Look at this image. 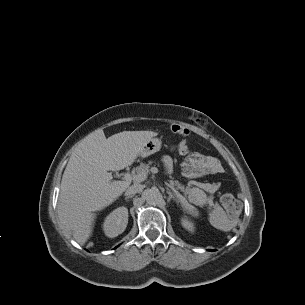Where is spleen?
Here are the masks:
<instances>
[{
	"label": "spleen",
	"mask_w": 305,
	"mask_h": 305,
	"mask_svg": "<svg viewBox=\"0 0 305 305\" xmlns=\"http://www.w3.org/2000/svg\"><path fill=\"white\" fill-rule=\"evenodd\" d=\"M185 210L188 214H190L193 217H198V211L196 210L195 207H193L192 205H186L185 206ZM213 221L215 223V225L219 228V229H226V223H225V216H224V212L221 210V208H217L214 212H213Z\"/></svg>",
	"instance_id": "spleen-1"
}]
</instances>
